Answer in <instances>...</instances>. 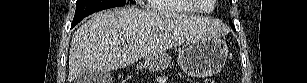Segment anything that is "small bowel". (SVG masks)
<instances>
[{
  "instance_id": "c3829d8e",
  "label": "small bowel",
  "mask_w": 307,
  "mask_h": 83,
  "mask_svg": "<svg viewBox=\"0 0 307 83\" xmlns=\"http://www.w3.org/2000/svg\"><path fill=\"white\" fill-rule=\"evenodd\" d=\"M161 82H166L165 79H163Z\"/></svg>"
}]
</instances>
